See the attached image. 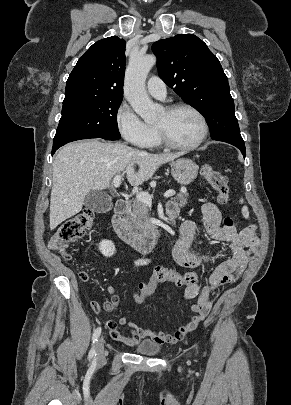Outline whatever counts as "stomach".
Listing matches in <instances>:
<instances>
[{"mask_svg": "<svg viewBox=\"0 0 291 405\" xmlns=\"http://www.w3.org/2000/svg\"><path fill=\"white\" fill-rule=\"evenodd\" d=\"M198 169L197 164L187 158H181L171 163L172 176L179 184L184 186L195 180Z\"/></svg>", "mask_w": 291, "mask_h": 405, "instance_id": "stomach-1", "label": "stomach"}]
</instances>
